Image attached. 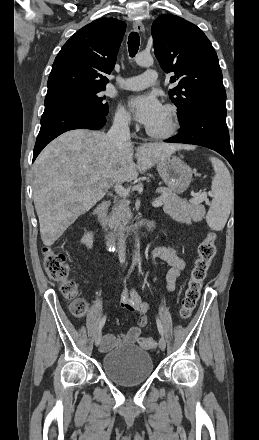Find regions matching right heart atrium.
<instances>
[{"mask_svg": "<svg viewBox=\"0 0 259 440\" xmlns=\"http://www.w3.org/2000/svg\"><path fill=\"white\" fill-rule=\"evenodd\" d=\"M131 117L123 106H118L114 114V124L118 128L126 129L130 126Z\"/></svg>", "mask_w": 259, "mask_h": 440, "instance_id": "1", "label": "right heart atrium"}]
</instances>
